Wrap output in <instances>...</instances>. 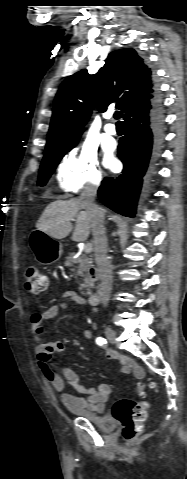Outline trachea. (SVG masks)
<instances>
[{"label":"trachea","mask_w":187,"mask_h":479,"mask_svg":"<svg viewBox=\"0 0 187 479\" xmlns=\"http://www.w3.org/2000/svg\"><path fill=\"white\" fill-rule=\"evenodd\" d=\"M120 117H121V113L119 111L115 112L114 118L118 120L117 124H123V122L119 120Z\"/></svg>","instance_id":"3493384b"}]
</instances>
